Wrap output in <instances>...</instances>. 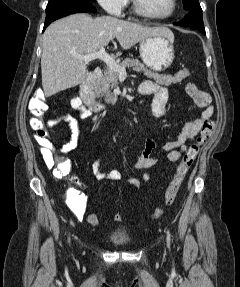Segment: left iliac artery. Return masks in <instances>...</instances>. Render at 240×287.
I'll use <instances>...</instances> for the list:
<instances>
[{
  "label": "left iliac artery",
  "instance_id": "obj_1",
  "mask_svg": "<svg viewBox=\"0 0 240 287\" xmlns=\"http://www.w3.org/2000/svg\"><path fill=\"white\" fill-rule=\"evenodd\" d=\"M167 241H168V243L170 242V233H169V231L167 232Z\"/></svg>",
  "mask_w": 240,
  "mask_h": 287
}]
</instances>
